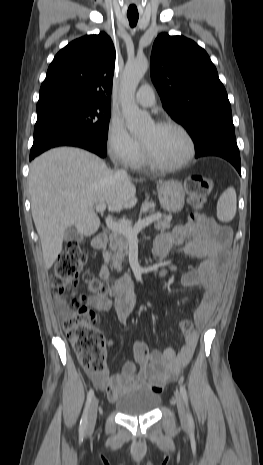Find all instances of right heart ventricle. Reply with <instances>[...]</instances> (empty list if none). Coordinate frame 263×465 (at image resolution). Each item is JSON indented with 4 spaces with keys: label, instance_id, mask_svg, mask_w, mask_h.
<instances>
[{
    "label": "right heart ventricle",
    "instance_id": "e07e8e85",
    "mask_svg": "<svg viewBox=\"0 0 263 465\" xmlns=\"http://www.w3.org/2000/svg\"><path fill=\"white\" fill-rule=\"evenodd\" d=\"M134 165L136 167H143L145 165V160L140 156Z\"/></svg>",
    "mask_w": 263,
    "mask_h": 465
}]
</instances>
